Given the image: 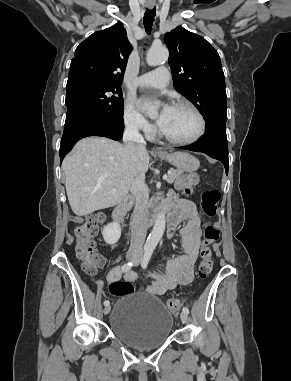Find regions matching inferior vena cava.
Returning <instances> with one entry per match:
<instances>
[{
  "label": "inferior vena cava",
  "instance_id": "602c4592",
  "mask_svg": "<svg viewBox=\"0 0 291 381\" xmlns=\"http://www.w3.org/2000/svg\"><path fill=\"white\" fill-rule=\"evenodd\" d=\"M123 139L126 143L132 142L137 145L139 150H144L146 142L143 136L139 133L136 124H128L125 128ZM136 203L131 221V244L129 254L140 255L143 252V244L147 233V204L149 195L145 187V174L137 173L131 189Z\"/></svg>",
  "mask_w": 291,
  "mask_h": 381
}]
</instances>
